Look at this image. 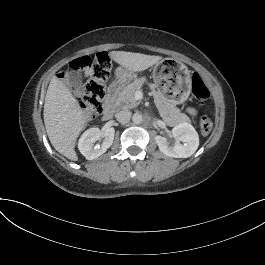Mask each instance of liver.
<instances>
[{"label":"liver","instance_id":"liver-1","mask_svg":"<svg viewBox=\"0 0 265 265\" xmlns=\"http://www.w3.org/2000/svg\"><path fill=\"white\" fill-rule=\"evenodd\" d=\"M109 56L132 72L144 71L162 59L160 56L125 51H111ZM43 115L49 140L55 150L76 161V138L91 116L79 108L69 88L57 77H53L48 86Z\"/></svg>","mask_w":265,"mask_h":265}]
</instances>
